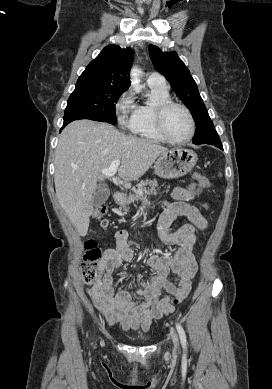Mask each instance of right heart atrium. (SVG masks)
Returning a JSON list of instances; mask_svg holds the SVG:
<instances>
[{
	"label": "right heart atrium",
	"instance_id": "1",
	"mask_svg": "<svg viewBox=\"0 0 272 389\" xmlns=\"http://www.w3.org/2000/svg\"><path fill=\"white\" fill-rule=\"evenodd\" d=\"M135 101L131 90L125 91L115 103V111L118 121L125 125L128 121V116L134 111Z\"/></svg>",
	"mask_w": 272,
	"mask_h": 389
}]
</instances>
